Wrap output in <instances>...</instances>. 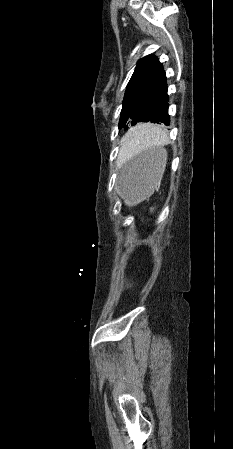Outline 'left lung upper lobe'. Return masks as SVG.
I'll list each match as a JSON object with an SVG mask.
<instances>
[{"label": "left lung upper lobe", "instance_id": "obj_1", "mask_svg": "<svg viewBox=\"0 0 233 449\" xmlns=\"http://www.w3.org/2000/svg\"><path fill=\"white\" fill-rule=\"evenodd\" d=\"M166 80L156 56L150 54L140 59L125 91L118 127L142 122L154 100L166 89Z\"/></svg>", "mask_w": 233, "mask_h": 449}]
</instances>
